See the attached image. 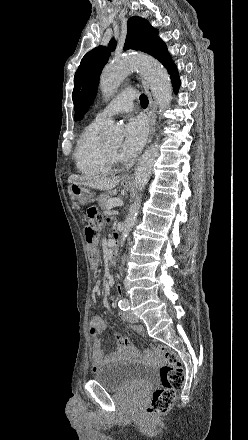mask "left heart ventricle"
<instances>
[{
	"label": "left heart ventricle",
	"mask_w": 248,
	"mask_h": 440,
	"mask_svg": "<svg viewBox=\"0 0 248 440\" xmlns=\"http://www.w3.org/2000/svg\"><path fill=\"white\" fill-rule=\"evenodd\" d=\"M119 146H120L119 142H114V143H111V144L108 145V147L110 149H112L113 151H115V152L118 151Z\"/></svg>",
	"instance_id": "b2bd125f"
}]
</instances>
